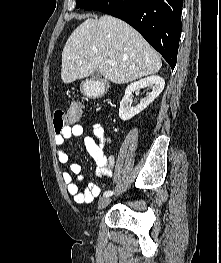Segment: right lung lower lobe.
Here are the masks:
<instances>
[{"mask_svg":"<svg viewBox=\"0 0 221 263\" xmlns=\"http://www.w3.org/2000/svg\"><path fill=\"white\" fill-rule=\"evenodd\" d=\"M183 0H103L102 11L134 27L168 62L176 65Z\"/></svg>","mask_w":221,"mask_h":263,"instance_id":"obj_1","label":"right lung lower lobe"}]
</instances>
